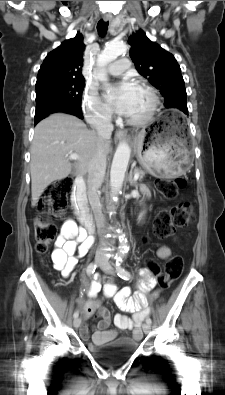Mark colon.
<instances>
[{
	"label": "colon",
	"instance_id": "colon-1",
	"mask_svg": "<svg viewBox=\"0 0 225 395\" xmlns=\"http://www.w3.org/2000/svg\"><path fill=\"white\" fill-rule=\"evenodd\" d=\"M185 186L183 178L158 179L157 190L167 199H174ZM73 180L65 177L51 183L44 191L39 208L51 215L61 214L68 205V194L72 190ZM194 220L192 206L188 202H181L170 209L160 211L154 221V233L159 238H166L191 224ZM57 227L45 218H37L34 222V235L37 252L46 253L57 237ZM142 272H150L158 276L161 289L171 288L172 282L177 280L183 271V260L179 256L170 258L164 266V271L154 261L145 262ZM102 285L113 283L112 278H102Z\"/></svg>",
	"mask_w": 225,
	"mask_h": 395
}]
</instances>
